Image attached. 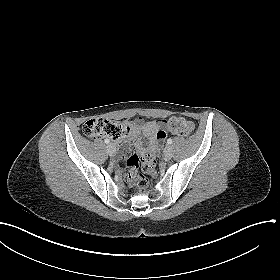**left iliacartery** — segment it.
Returning <instances> with one entry per match:
<instances>
[{
    "mask_svg": "<svg viewBox=\"0 0 280 280\" xmlns=\"http://www.w3.org/2000/svg\"><path fill=\"white\" fill-rule=\"evenodd\" d=\"M172 142H173V140H172L171 138H169V139L167 140V143H168V144H172Z\"/></svg>",
    "mask_w": 280,
    "mask_h": 280,
    "instance_id": "obj_1",
    "label": "left iliac artery"
}]
</instances>
